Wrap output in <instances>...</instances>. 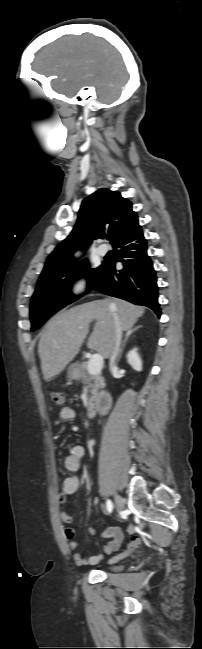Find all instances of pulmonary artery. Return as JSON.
<instances>
[{"instance_id":"e3ab8cb5","label":"pulmonary artery","mask_w":202,"mask_h":649,"mask_svg":"<svg viewBox=\"0 0 202 649\" xmlns=\"http://www.w3.org/2000/svg\"><path fill=\"white\" fill-rule=\"evenodd\" d=\"M108 251H109L108 246H106L105 244H102V245H100V246L98 247V253H99L101 256L106 255V254L108 253Z\"/></svg>"}]
</instances>
